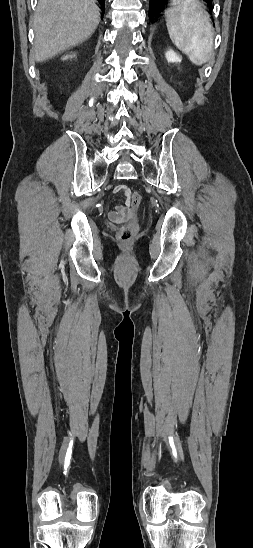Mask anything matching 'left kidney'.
I'll return each mask as SVG.
<instances>
[{"instance_id":"left-kidney-1","label":"left kidney","mask_w":253,"mask_h":548,"mask_svg":"<svg viewBox=\"0 0 253 548\" xmlns=\"http://www.w3.org/2000/svg\"><path fill=\"white\" fill-rule=\"evenodd\" d=\"M165 56L167 61L170 63H180L182 60L181 56H179L176 52H174L171 49L165 53Z\"/></svg>"}]
</instances>
